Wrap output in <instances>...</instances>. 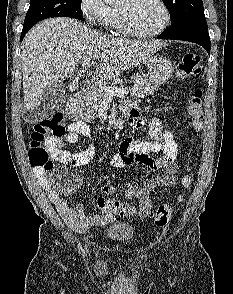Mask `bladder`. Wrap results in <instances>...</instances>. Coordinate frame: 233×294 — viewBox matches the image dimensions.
Returning a JSON list of instances; mask_svg holds the SVG:
<instances>
[{"mask_svg": "<svg viewBox=\"0 0 233 294\" xmlns=\"http://www.w3.org/2000/svg\"><path fill=\"white\" fill-rule=\"evenodd\" d=\"M106 238L117 242H129L135 235L134 227L126 221H115L104 229Z\"/></svg>", "mask_w": 233, "mask_h": 294, "instance_id": "obj_1", "label": "bladder"}]
</instances>
